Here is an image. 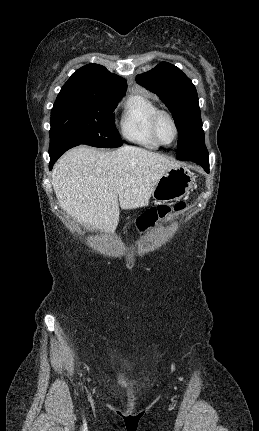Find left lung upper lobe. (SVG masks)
<instances>
[{"label":"left lung upper lobe","mask_w":259,"mask_h":431,"mask_svg":"<svg viewBox=\"0 0 259 431\" xmlns=\"http://www.w3.org/2000/svg\"><path fill=\"white\" fill-rule=\"evenodd\" d=\"M136 82L156 93L172 113L178 129L176 158L192 160L208 156L198 95L191 80L176 66L161 62L137 75Z\"/></svg>","instance_id":"obj_1"}]
</instances>
